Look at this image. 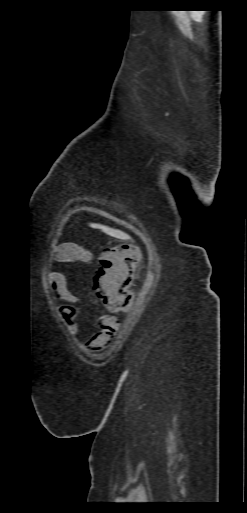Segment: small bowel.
<instances>
[{
    "label": "small bowel",
    "instance_id": "1",
    "mask_svg": "<svg viewBox=\"0 0 247 513\" xmlns=\"http://www.w3.org/2000/svg\"><path fill=\"white\" fill-rule=\"evenodd\" d=\"M77 251L78 247L76 244H63L54 250L55 259L59 262H73L76 259ZM46 281L56 291L58 296L66 302L65 305L61 306L60 313L68 331L76 333L78 327L75 319L79 313V309L76 306L79 301L78 296L71 292L67 278L61 272L51 271L47 273ZM99 324V332L87 343L88 348L92 352H101L109 347L117 333L119 322L114 316H104L100 319Z\"/></svg>",
    "mask_w": 247,
    "mask_h": 513
}]
</instances>
